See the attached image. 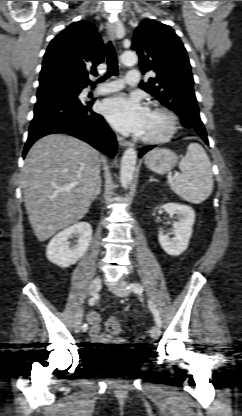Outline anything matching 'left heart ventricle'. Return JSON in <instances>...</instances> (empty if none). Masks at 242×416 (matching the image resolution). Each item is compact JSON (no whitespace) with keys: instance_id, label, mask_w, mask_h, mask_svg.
<instances>
[{"instance_id":"1","label":"left heart ventricle","mask_w":242,"mask_h":416,"mask_svg":"<svg viewBox=\"0 0 242 416\" xmlns=\"http://www.w3.org/2000/svg\"><path fill=\"white\" fill-rule=\"evenodd\" d=\"M166 127V118L164 115L149 111L141 136L150 137L161 134Z\"/></svg>"}]
</instances>
